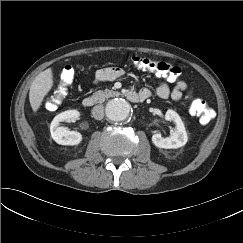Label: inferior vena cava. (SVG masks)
Instances as JSON below:
<instances>
[{
	"mask_svg": "<svg viewBox=\"0 0 243 243\" xmlns=\"http://www.w3.org/2000/svg\"><path fill=\"white\" fill-rule=\"evenodd\" d=\"M93 117L97 120H101L104 117V107L102 105H97L92 110Z\"/></svg>",
	"mask_w": 243,
	"mask_h": 243,
	"instance_id": "602c4592",
	"label": "inferior vena cava"
}]
</instances>
